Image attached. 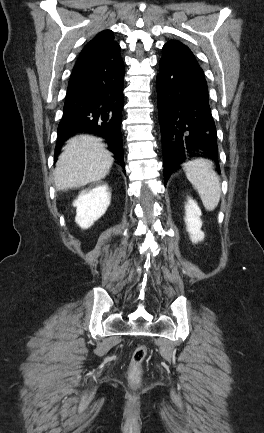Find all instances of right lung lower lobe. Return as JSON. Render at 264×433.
I'll return each mask as SVG.
<instances>
[{
  "label": "right lung lower lobe",
  "mask_w": 264,
  "mask_h": 433,
  "mask_svg": "<svg viewBox=\"0 0 264 433\" xmlns=\"http://www.w3.org/2000/svg\"><path fill=\"white\" fill-rule=\"evenodd\" d=\"M124 62L97 56L79 57L67 88L55 151L76 132L107 140L114 158L125 167L121 135Z\"/></svg>",
  "instance_id": "98d812e1"
}]
</instances>
